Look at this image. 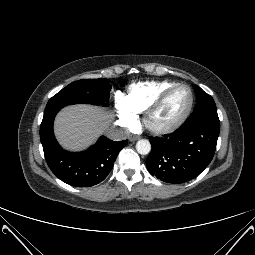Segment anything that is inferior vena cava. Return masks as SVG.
I'll return each mask as SVG.
<instances>
[{
  "instance_id": "602c4592",
  "label": "inferior vena cava",
  "mask_w": 255,
  "mask_h": 255,
  "mask_svg": "<svg viewBox=\"0 0 255 255\" xmlns=\"http://www.w3.org/2000/svg\"><path fill=\"white\" fill-rule=\"evenodd\" d=\"M129 135V131L121 128H111L107 131L108 138L114 141H120L126 139Z\"/></svg>"
}]
</instances>
